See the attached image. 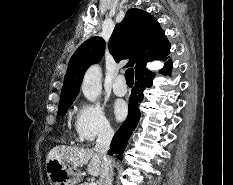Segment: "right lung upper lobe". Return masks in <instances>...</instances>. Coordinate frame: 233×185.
<instances>
[{"label": "right lung upper lobe", "instance_id": "right-lung-upper-lobe-1", "mask_svg": "<svg viewBox=\"0 0 233 185\" xmlns=\"http://www.w3.org/2000/svg\"><path fill=\"white\" fill-rule=\"evenodd\" d=\"M105 48L102 38L95 36L83 42L72 55L60 102L74 100L87 68L97 63ZM109 49L116 62L130 58L126 66L135 67V74L146 69L153 60H165L170 53V43L156 19L140 9L127 11L117 24L109 40Z\"/></svg>", "mask_w": 233, "mask_h": 185}]
</instances>
